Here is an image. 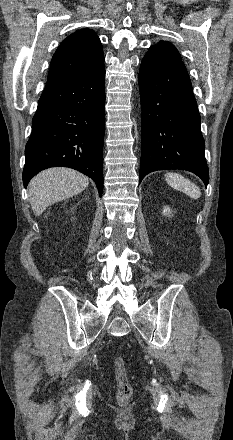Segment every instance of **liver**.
I'll list each match as a JSON object with an SVG mask.
<instances>
[{
    "mask_svg": "<svg viewBox=\"0 0 233 440\" xmlns=\"http://www.w3.org/2000/svg\"><path fill=\"white\" fill-rule=\"evenodd\" d=\"M88 185V178L73 169L55 167L44 170L28 186L32 210L39 216L50 205L81 193Z\"/></svg>",
    "mask_w": 233,
    "mask_h": 440,
    "instance_id": "1",
    "label": "liver"
}]
</instances>
